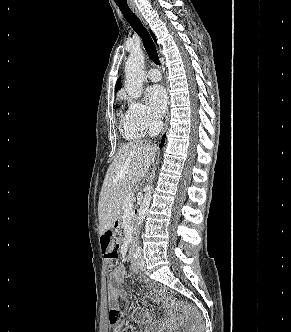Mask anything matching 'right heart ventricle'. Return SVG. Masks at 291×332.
I'll list each match as a JSON object with an SVG mask.
<instances>
[{"instance_id":"obj_1","label":"right heart ventricle","mask_w":291,"mask_h":332,"mask_svg":"<svg viewBox=\"0 0 291 332\" xmlns=\"http://www.w3.org/2000/svg\"><path fill=\"white\" fill-rule=\"evenodd\" d=\"M122 132L125 138L134 140L142 137L143 133L134 128L128 118V112L122 114Z\"/></svg>"}]
</instances>
